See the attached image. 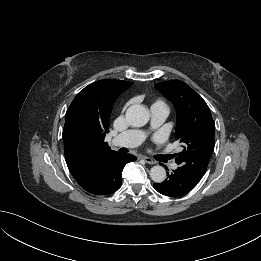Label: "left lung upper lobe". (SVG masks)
I'll list each match as a JSON object with an SVG mask.
<instances>
[{
  "mask_svg": "<svg viewBox=\"0 0 261 261\" xmlns=\"http://www.w3.org/2000/svg\"><path fill=\"white\" fill-rule=\"evenodd\" d=\"M155 87L176 108V139L184 147L176 154V162L200 181L214 150L215 124L210 109L203 98L182 81L157 83Z\"/></svg>",
  "mask_w": 261,
  "mask_h": 261,
  "instance_id": "obj_1",
  "label": "left lung upper lobe"
}]
</instances>
